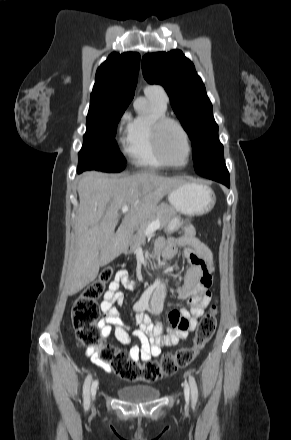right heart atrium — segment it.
Wrapping results in <instances>:
<instances>
[{
    "instance_id": "d8ad5b80",
    "label": "right heart atrium",
    "mask_w": 291,
    "mask_h": 440,
    "mask_svg": "<svg viewBox=\"0 0 291 440\" xmlns=\"http://www.w3.org/2000/svg\"><path fill=\"white\" fill-rule=\"evenodd\" d=\"M129 126H130V116L125 113L119 123H118V133L121 135L120 142L124 141V135H127L129 133Z\"/></svg>"
}]
</instances>
